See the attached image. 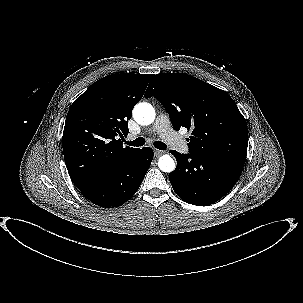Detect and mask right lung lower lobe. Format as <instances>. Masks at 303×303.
<instances>
[{
	"label": "right lung lower lobe",
	"mask_w": 303,
	"mask_h": 303,
	"mask_svg": "<svg viewBox=\"0 0 303 303\" xmlns=\"http://www.w3.org/2000/svg\"><path fill=\"white\" fill-rule=\"evenodd\" d=\"M153 150L139 149L137 154L106 177L81 189L80 193L92 203L105 207H118L128 201L138 190L151 165Z\"/></svg>",
	"instance_id": "1"
}]
</instances>
